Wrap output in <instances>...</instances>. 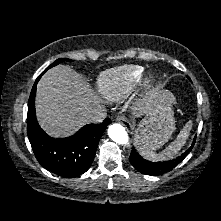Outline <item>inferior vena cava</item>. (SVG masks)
Here are the masks:
<instances>
[{
	"label": "inferior vena cava",
	"instance_id": "1",
	"mask_svg": "<svg viewBox=\"0 0 221 221\" xmlns=\"http://www.w3.org/2000/svg\"><path fill=\"white\" fill-rule=\"evenodd\" d=\"M107 114L104 109L96 110L87 114L84 118L85 123H100L106 118Z\"/></svg>",
	"mask_w": 221,
	"mask_h": 221
}]
</instances>
